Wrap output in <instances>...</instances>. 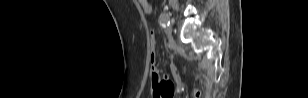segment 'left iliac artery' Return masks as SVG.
Instances as JSON below:
<instances>
[{
  "mask_svg": "<svg viewBox=\"0 0 308 98\" xmlns=\"http://www.w3.org/2000/svg\"><path fill=\"white\" fill-rule=\"evenodd\" d=\"M159 22L163 27L169 26V24H170L169 15L165 12L161 13L160 18H159Z\"/></svg>",
  "mask_w": 308,
  "mask_h": 98,
  "instance_id": "44dca946",
  "label": "left iliac artery"
}]
</instances>
